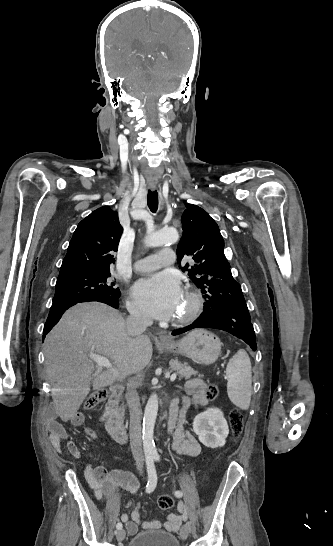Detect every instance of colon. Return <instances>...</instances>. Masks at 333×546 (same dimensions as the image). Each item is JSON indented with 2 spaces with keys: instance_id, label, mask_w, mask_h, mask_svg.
I'll return each mask as SVG.
<instances>
[{
  "instance_id": "5ec220e1",
  "label": "colon",
  "mask_w": 333,
  "mask_h": 546,
  "mask_svg": "<svg viewBox=\"0 0 333 546\" xmlns=\"http://www.w3.org/2000/svg\"><path fill=\"white\" fill-rule=\"evenodd\" d=\"M217 395L218 388L214 384L209 385L205 390V396L209 400L214 399ZM106 397L107 392L105 390L95 391L86 399L84 407L86 409H92L97 404L105 400ZM229 424L231 428L232 439L235 441L239 437L243 427V415L237 408H234L230 411ZM158 506L162 510L171 509L174 506V499L168 494H163L158 499Z\"/></svg>"
}]
</instances>
